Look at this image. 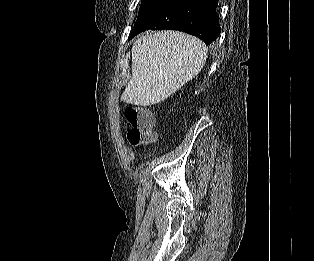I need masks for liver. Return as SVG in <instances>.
I'll return each instance as SVG.
<instances>
[{"label":"liver","mask_w":314,"mask_h":261,"mask_svg":"<svg viewBox=\"0 0 314 261\" xmlns=\"http://www.w3.org/2000/svg\"><path fill=\"white\" fill-rule=\"evenodd\" d=\"M208 48L198 38L178 31H157L132 47V77L122 101L137 106L160 103L203 68Z\"/></svg>","instance_id":"liver-1"}]
</instances>
